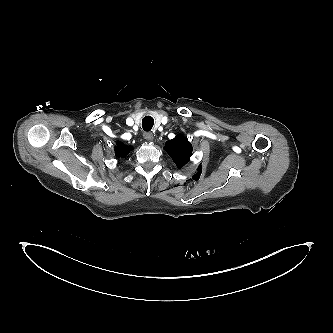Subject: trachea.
Here are the masks:
<instances>
[{"label":"trachea","instance_id":"obj_1","mask_svg":"<svg viewBox=\"0 0 333 333\" xmlns=\"http://www.w3.org/2000/svg\"><path fill=\"white\" fill-rule=\"evenodd\" d=\"M154 125V119L151 116H145L142 119V127L144 131H150Z\"/></svg>","mask_w":333,"mask_h":333}]
</instances>
